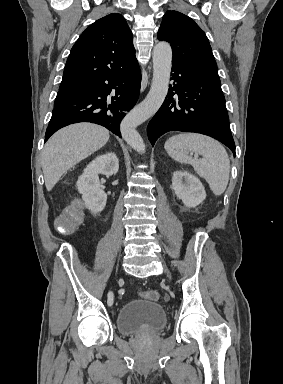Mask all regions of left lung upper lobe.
I'll list each match as a JSON object with an SVG mask.
<instances>
[{
  "mask_svg": "<svg viewBox=\"0 0 283 384\" xmlns=\"http://www.w3.org/2000/svg\"><path fill=\"white\" fill-rule=\"evenodd\" d=\"M158 39L171 44L172 63L218 76L208 38L190 17L178 11H167L158 31Z\"/></svg>",
  "mask_w": 283,
  "mask_h": 384,
  "instance_id": "left-lung-upper-lobe-1",
  "label": "left lung upper lobe"
}]
</instances>
